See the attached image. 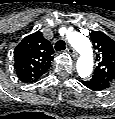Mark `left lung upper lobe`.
Instances as JSON below:
<instances>
[{
  "mask_svg": "<svg viewBox=\"0 0 115 119\" xmlns=\"http://www.w3.org/2000/svg\"><path fill=\"white\" fill-rule=\"evenodd\" d=\"M91 40L96 50L98 65L94 74L115 81V41L100 31L90 33Z\"/></svg>",
  "mask_w": 115,
  "mask_h": 119,
  "instance_id": "5c2ea615",
  "label": "left lung upper lobe"
}]
</instances>
